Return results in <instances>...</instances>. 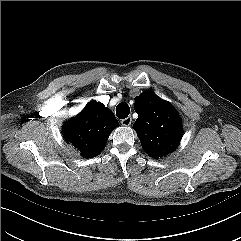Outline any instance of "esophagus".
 <instances>
[{"mask_svg": "<svg viewBox=\"0 0 241 241\" xmlns=\"http://www.w3.org/2000/svg\"><path fill=\"white\" fill-rule=\"evenodd\" d=\"M131 123H132V118H131V116H129V117L121 120V124H122L123 126H129V125H131Z\"/></svg>", "mask_w": 241, "mask_h": 241, "instance_id": "34e87169", "label": "esophagus"}]
</instances>
